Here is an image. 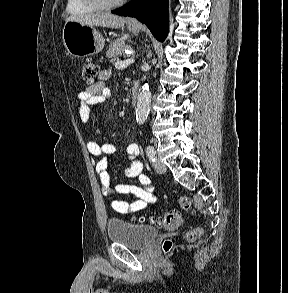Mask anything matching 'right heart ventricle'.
Here are the masks:
<instances>
[{"instance_id":"obj_1","label":"right heart ventricle","mask_w":288,"mask_h":293,"mask_svg":"<svg viewBox=\"0 0 288 293\" xmlns=\"http://www.w3.org/2000/svg\"><path fill=\"white\" fill-rule=\"evenodd\" d=\"M66 8L68 13L74 15L87 14L100 9L87 0H67Z\"/></svg>"}]
</instances>
